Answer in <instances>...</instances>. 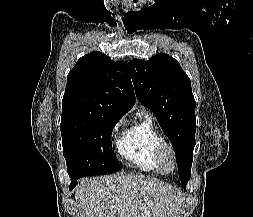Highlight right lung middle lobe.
Listing matches in <instances>:
<instances>
[{
    "mask_svg": "<svg viewBox=\"0 0 253 217\" xmlns=\"http://www.w3.org/2000/svg\"><path fill=\"white\" fill-rule=\"evenodd\" d=\"M119 117L79 110L62 111L61 134L67 171L72 179L119 170L111 134Z\"/></svg>",
    "mask_w": 253,
    "mask_h": 217,
    "instance_id": "obj_1",
    "label": "right lung middle lobe"
}]
</instances>
